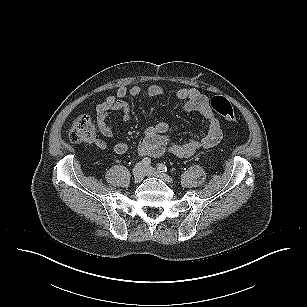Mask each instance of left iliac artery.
Masks as SVG:
<instances>
[{
    "mask_svg": "<svg viewBox=\"0 0 307 307\" xmlns=\"http://www.w3.org/2000/svg\"><path fill=\"white\" fill-rule=\"evenodd\" d=\"M157 168H158V170L160 171V172H167V167H166V165H164L163 163H159L158 164V166H157Z\"/></svg>",
    "mask_w": 307,
    "mask_h": 307,
    "instance_id": "obj_1",
    "label": "left iliac artery"
}]
</instances>
